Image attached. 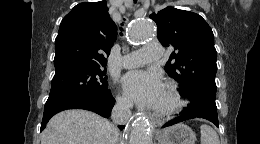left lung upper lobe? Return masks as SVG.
Instances as JSON below:
<instances>
[{
	"label": "left lung upper lobe",
	"mask_w": 260,
	"mask_h": 144,
	"mask_svg": "<svg viewBox=\"0 0 260 144\" xmlns=\"http://www.w3.org/2000/svg\"><path fill=\"white\" fill-rule=\"evenodd\" d=\"M157 24L158 39L165 47H173L165 71L179 82L180 94L190 101L184 111L204 106L216 107L217 71L214 35L198 14L166 7L150 15Z\"/></svg>",
	"instance_id": "5c2ea615"
}]
</instances>
